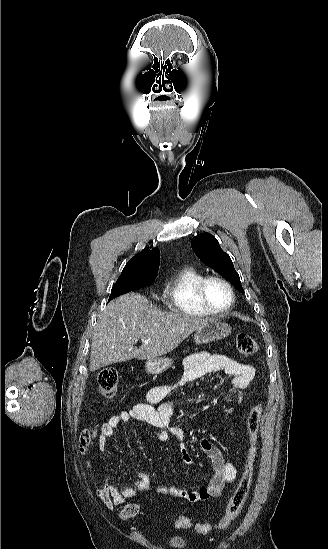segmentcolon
Segmentation results:
<instances>
[{"mask_svg": "<svg viewBox=\"0 0 328 549\" xmlns=\"http://www.w3.org/2000/svg\"><path fill=\"white\" fill-rule=\"evenodd\" d=\"M236 348L241 356L249 357L257 352L258 346L255 340L247 334H239L236 338ZM119 386V375L115 369L107 368L98 375V387L100 393L106 398H112ZM262 414V405H255L246 421V430L248 436V450L242 476L231 495L224 515L216 523L193 522L185 516H178L175 519V526L182 529H191L198 534H207L214 529H224L228 527L241 512L248 497L252 479L254 475V466L258 451V431ZM94 438L92 429H85L79 439L81 451L85 452L90 447ZM141 509L139 503H126L120 511V518L128 520L135 517Z\"/></svg>", "mask_w": 328, "mask_h": 549, "instance_id": "colon-1", "label": "colon"}]
</instances>
